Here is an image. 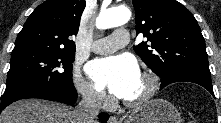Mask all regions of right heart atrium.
Returning a JSON list of instances; mask_svg holds the SVG:
<instances>
[{
    "label": "right heart atrium",
    "instance_id": "right-heart-atrium-1",
    "mask_svg": "<svg viewBox=\"0 0 221 123\" xmlns=\"http://www.w3.org/2000/svg\"><path fill=\"white\" fill-rule=\"evenodd\" d=\"M74 85L85 102L96 106H107L110 103L106 94L87 81L78 69L74 72Z\"/></svg>",
    "mask_w": 221,
    "mask_h": 123
}]
</instances>
